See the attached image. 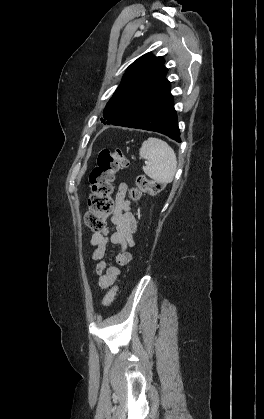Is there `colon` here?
Instances as JSON below:
<instances>
[{
    "mask_svg": "<svg viewBox=\"0 0 264 419\" xmlns=\"http://www.w3.org/2000/svg\"><path fill=\"white\" fill-rule=\"evenodd\" d=\"M128 166V160L120 151L103 150L99 153L97 164L90 173L91 194L88 200V211L85 214V224L93 231L100 232L105 227L106 218L115 208L113 199L114 179L116 172ZM163 189L159 182L138 176L135 186L129 191L133 201H137L142 193H158ZM117 287H112L104 297V306L114 301Z\"/></svg>",
    "mask_w": 264,
    "mask_h": 419,
    "instance_id": "1",
    "label": "colon"
}]
</instances>
